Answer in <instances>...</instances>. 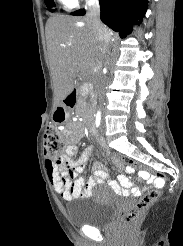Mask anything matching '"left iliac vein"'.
Returning <instances> with one entry per match:
<instances>
[{
  "label": "left iliac vein",
  "instance_id": "obj_1",
  "mask_svg": "<svg viewBox=\"0 0 183 246\" xmlns=\"http://www.w3.org/2000/svg\"><path fill=\"white\" fill-rule=\"evenodd\" d=\"M105 131V122L104 120L102 121V125H101V132Z\"/></svg>",
  "mask_w": 183,
  "mask_h": 246
}]
</instances>
